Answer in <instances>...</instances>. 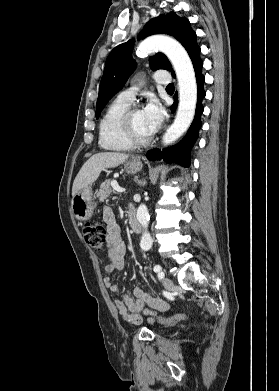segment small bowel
Wrapping results in <instances>:
<instances>
[{
    "instance_id": "1",
    "label": "small bowel",
    "mask_w": 279,
    "mask_h": 391,
    "mask_svg": "<svg viewBox=\"0 0 279 391\" xmlns=\"http://www.w3.org/2000/svg\"><path fill=\"white\" fill-rule=\"evenodd\" d=\"M103 219L106 223V243L109 261L103 270L106 273L121 271L125 266L126 246L120 236V228L116 223L114 213L108 206L103 209ZM104 284L113 293L120 292V285L114 283L110 277L104 278ZM132 298L123 294L121 299H115L114 304L122 318L131 325H139L147 315L167 311L169 306L161 299L154 298L141 287H135Z\"/></svg>"
}]
</instances>
